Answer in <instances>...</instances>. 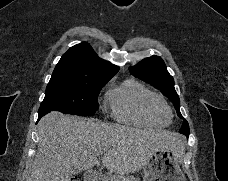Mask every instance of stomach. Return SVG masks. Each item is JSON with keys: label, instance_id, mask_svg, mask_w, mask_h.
I'll return each instance as SVG.
<instances>
[{"label": "stomach", "instance_id": "stomach-1", "mask_svg": "<svg viewBox=\"0 0 228 181\" xmlns=\"http://www.w3.org/2000/svg\"><path fill=\"white\" fill-rule=\"evenodd\" d=\"M143 181H187L172 149H157L143 167Z\"/></svg>", "mask_w": 228, "mask_h": 181}]
</instances>
